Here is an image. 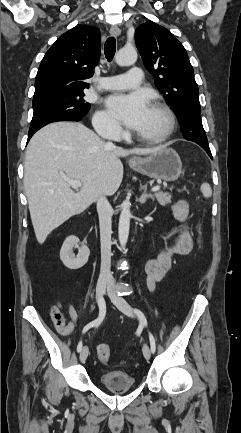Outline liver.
I'll list each match as a JSON object with an SVG mask.
<instances>
[{
    "instance_id": "obj_1",
    "label": "liver",
    "mask_w": 241,
    "mask_h": 433,
    "mask_svg": "<svg viewBox=\"0 0 241 433\" xmlns=\"http://www.w3.org/2000/svg\"><path fill=\"white\" fill-rule=\"evenodd\" d=\"M162 147L109 146L81 123L55 122L40 129L27 146L24 163V187L37 241L43 244L70 217L118 190L123 179L120 157L148 155ZM64 176L80 181V190L74 192Z\"/></svg>"
}]
</instances>
